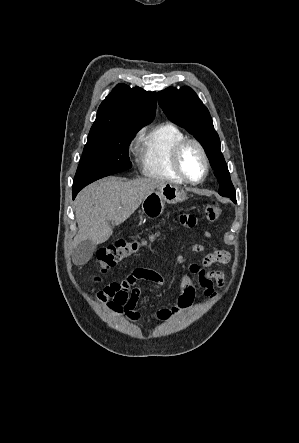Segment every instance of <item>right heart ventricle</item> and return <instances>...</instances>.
Instances as JSON below:
<instances>
[{
  "mask_svg": "<svg viewBox=\"0 0 299 443\" xmlns=\"http://www.w3.org/2000/svg\"><path fill=\"white\" fill-rule=\"evenodd\" d=\"M187 138L176 124L162 123L151 129L140 141L138 159L141 171L145 176L183 183L173 166V151L175 146Z\"/></svg>",
  "mask_w": 299,
  "mask_h": 443,
  "instance_id": "1",
  "label": "right heart ventricle"
}]
</instances>
